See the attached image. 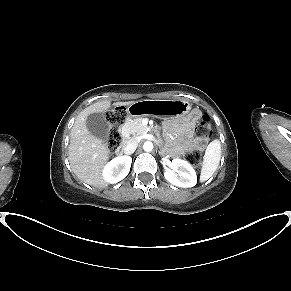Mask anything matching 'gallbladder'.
Returning a JSON list of instances; mask_svg holds the SVG:
<instances>
[{"mask_svg": "<svg viewBox=\"0 0 291 291\" xmlns=\"http://www.w3.org/2000/svg\"><path fill=\"white\" fill-rule=\"evenodd\" d=\"M88 131L100 140L108 138L109 125L101 113H92L86 118Z\"/></svg>", "mask_w": 291, "mask_h": 291, "instance_id": "gallbladder-1", "label": "gallbladder"}]
</instances>
